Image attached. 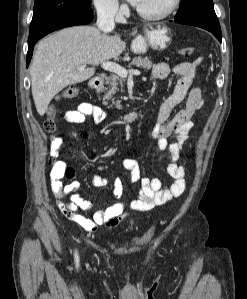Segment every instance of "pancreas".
<instances>
[{
    "instance_id": "obj_1",
    "label": "pancreas",
    "mask_w": 247,
    "mask_h": 299,
    "mask_svg": "<svg viewBox=\"0 0 247 299\" xmlns=\"http://www.w3.org/2000/svg\"><path fill=\"white\" fill-rule=\"evenodd\" d=\"M131 65L141 67L146 71H148L152 67V61L147 57L144 58L139 56L132 60ZM106 85L108 87L104 89L105 92V95L103 97L104 104H107L109 100L114 102L113 96L118 93L119 88L121 89V92L123 91V79L117 74H112L106 79ZM114 103L117 108L120 109L122 107L120 100H116Z\"/></svg>"
}]
</instances>
